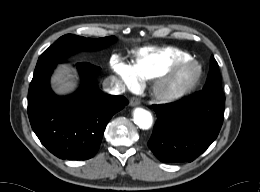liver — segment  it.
Here are the masks:
<instances>
[{
	"label": "liver",
	"mask_w": 260,
	"mask_h": 192,
	"mask_svg": "<svg viewBox=\"0 0 260 192\" xmlns=\"http://www.w3.org/2000/svg\"><path fill=\"white\" fill-rule=\"evenodd\" d=\"M52 84L57 94L64 95L72 93L77 89V82L72 70L61 65L52 76Z\"/></svg>",
	"instance_id": "obj_1"
}]
</instances>
